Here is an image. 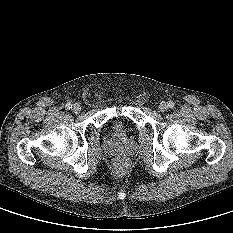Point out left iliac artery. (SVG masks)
I'll return each mask as SVG.
<instances>
[{
	"instance_id": "obj_1",
	"label": "left iliac artery",
	"mask_w": 233,
	"mask_h": 233,
	"mask_svg": "<svg viewBox=\"0 0 233 233\" xmlns=\"http://www.w3.org/2000/svg\"><path fill=\"white\" fill-rule=\"evenodd\" d=\"M174 106H175V104H174L173 101H169V102L167 103V107L170 108V109L174 108Z\"/></svg>"
}]
</instances>
